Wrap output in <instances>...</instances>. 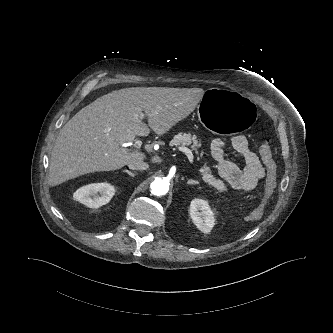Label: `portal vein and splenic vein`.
<instances>
[{
    "label": "portal vein and splenic vein",
    "mask_w": 333,
    "mask_h": 333,
    "mask_svg": "<svg viewBox=\"0 0 333 333\" xmlns=\"http://www.w3.org/2000/svg\"><path fill=\"white\" fill-rule=\"evenodd\" d=\"M140 116L142 118L144 117L143 114H141ZM134 145H135L136 148H140L141 145H142V141L141 140H136ZM124 146L126 147L127 144H124ZM179 150L182 151L183 153H185V155L187 156V158H188V160H189L190 163H193V158L194 157H193V154H192V152H191V150L189 148H187V147H179Z\"/></svg>",
    "instance_id": "1"
}]
</instances>
